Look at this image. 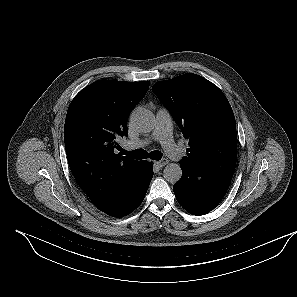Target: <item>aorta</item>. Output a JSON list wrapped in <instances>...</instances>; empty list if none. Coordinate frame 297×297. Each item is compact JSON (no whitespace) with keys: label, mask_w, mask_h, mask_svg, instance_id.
<instances>
[{"label":"aorta","mask_w":297,"mask_h":297,"mask_svg":"<svg viewBox=\"0 0 297 297\" xmlns=\"http://www.w3.org/2000/svg\"><path fill=\"white\" fill-rule=\"evenodd\" d=\"M132 125L139 131L147 132L153 127V114L146 108L139 107L132 111L130 116ZM163 177L167 182L177 183L182 177V169L177 163L168 164L163 171Z\"/></svg>","instance_id":"obj_1"}]
</instances>
